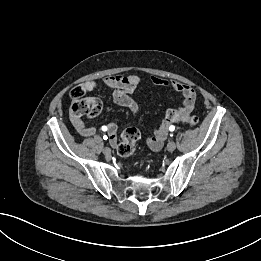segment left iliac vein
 Segmentation results:
<instances>
[{"label": "left iliac vein", "instance_id": "4c4485c4", "mask_svg": "<svg viewBox=\"0 0 261 261\" xmlns=\"http://www.w3.org/2000/svg\"><path fill=\"white\" fill-rule=\"evenodd\" d=\"M176 148V144L174 141H169L168 144H167V150L169 152H173Z\"/></svg>", "mask_w": 261, "mask_h": 261}]
</instances>
